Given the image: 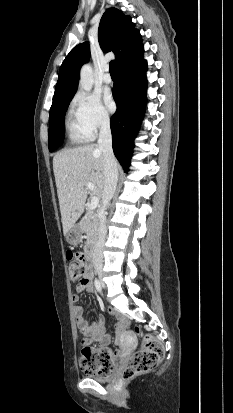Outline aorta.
I'll return each instance as SVG.
<instances>
[{
	"mask_svg": "<svg viewBox=\"0 0 233 413\" xmlns=\"http://www.w3.org/2000/svg\"><path fill=\"white\" fill-rule=\"evenodd\" d=\"M93 70L89 64L82 66L80 70V81L79 86L86 92L91 91L93 87Z\"/></svg>",
	"mask_w": 233,
	"mask_h": 413,
	"instance_id": "1",
	"label": "aorta"
}]
</instances>
